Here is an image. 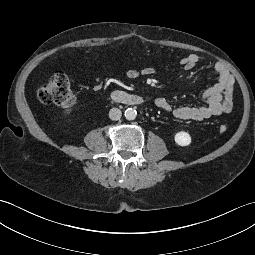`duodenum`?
<instances>
[{
  "mask_svg": "<svg viewBox=\"0 0 255 255\" xmlns=\"http://www.w3.org/2000/svg\"><path fill=\"white\" fill-rule=\"evenodd\" d=\"M110 97L113 101L132 106L141 105L144 102V99L139 95L129 94L119 90L111 92Z\"/></svg>",
  "mask_w": 255,
  "mask_h": 255,
  "instance_id": "duodenum-1",
  "label": "duodenum"
}]
</instances>
